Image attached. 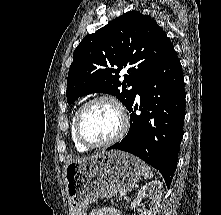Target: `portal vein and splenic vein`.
<instances>
[{
  "label": "portal vein and splenic vein",
  "instance_id": "1",
  "mask_svg": "<svg viewBox=\"0 0 221 215\" xmlns=\"http://www.w3.org/2000/svg\"><path fill=\"white\" fill-rule=\"evenodd\" d=\"M124 199H128V197H124Z\"/></svg>",
  "mask_w": 221,
  "mask_h": 215
}]
</instances>
